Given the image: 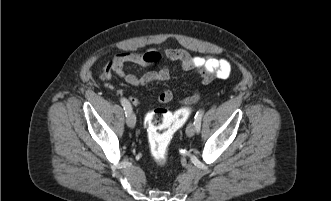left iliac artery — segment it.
<instances>
[{
    "label": "left iliac artery",
    "mask_w": 331,
    "mask_h": 201,
    "mask_svg": "<svg viewBox=\"0 0 331 201\" xmlns=\"http://www.w3.org/2000/svg\"><path fill=\"white\" fill-rule=\"evenodd\" d=\"M203 114H204V111L203 110H200L195 115L194 124L196 125L197 132H199V130H200L201 119H202Z\"/></svg>",
    "instance_id": "44dca946"
}]
</instances>
